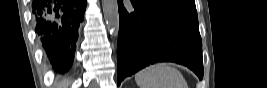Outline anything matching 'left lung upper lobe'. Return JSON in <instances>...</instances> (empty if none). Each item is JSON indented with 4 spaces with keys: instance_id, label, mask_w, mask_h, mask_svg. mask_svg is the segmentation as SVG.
Segmentation results:
<instances>
[{
    "instance_id": "left-lung-upper-lobe-1",
    "label": "left lung upper lobe",
    "mask_w": 267,
    "mask_h": 88,
    "mask_svg": "<svg viewBox=\"0 0 267 88\" xmlns=\"http://www.w3.org/2000/svg\"><path fill=\"white\" fill-rule=\"evenodd\" d=\"M147 10L183 14L197 19L195 0H132Z\"/></svg>"
}]
</instances>
